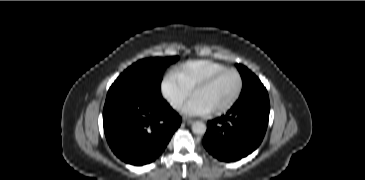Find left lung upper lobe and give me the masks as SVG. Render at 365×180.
<instances>
[{"instance_id":"left-lung-upper-lobe-1","label":"left lung upper lobe","mask_w":365,"mask_h":180,"mask_svg":"<svg viewBox=\"0 0 365 180\" xmlns=\"http://www.w3.org/2000/svg\"><path fill=\"white\" fill-rule=\"evenodd\" d=\"M236 66L243 80V89L240 96H244L251 92L265 88L258 77L255 76V74H253L249 69L241 64H236Z\"/></svg>"}]
</instances>
